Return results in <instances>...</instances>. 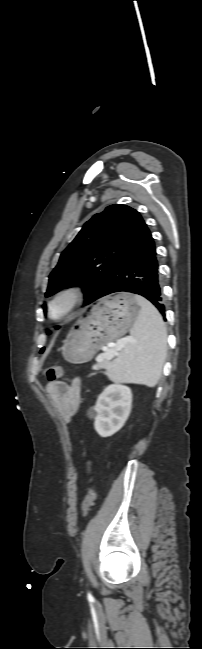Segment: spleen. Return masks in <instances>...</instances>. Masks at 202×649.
I'll list each match as a JSON object with an SVG mask.
<instances>
[{"label":"spleen","mask_w":202,"mask_h":649,"mask_svg":"<svg viewBox=\"0 0 202 649\" xmlns=\"http://www.w3.org/2000/svg\"><path fill=\"white\" fill-rule=\"evenodd\" d=\"M135 299L141 309L130 330L134 341L126 343L107 375L112 381L154 387L160 379L167 350L166 326L147 299L140 295H135Z\"/></svg>","instance_id":"obj_1"}]
</instances>
